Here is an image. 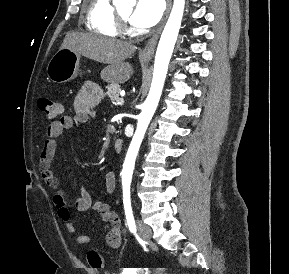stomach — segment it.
Returning <instances> with one entry per match:
<instances>
[{
	"instance_id": "1",
	"label": "stomach",
	"mask_w": 289,
	"mask_h": 274,
	"mask_svg": "<svg viewBox=\"0 0 289 274\" xmlns=\"http://www.w3.org/2000/svg\"><path fill=\"white\" fill-rule=\"evenodd\" d=\"M149 61L150 57H143ZM80 54L71 49H59L47 65L48 78L55 83H65L79 75Z\"/></svg>"
}]
</instances>
